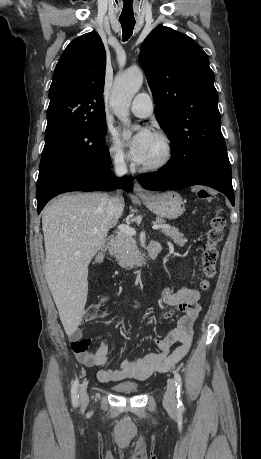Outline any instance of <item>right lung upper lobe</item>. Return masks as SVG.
Wrapping results in <instances>:
<instances>
[{
  "label": "right lung upper lobe",
  "instance_id": "cb5924a9",
  "mask_svg": "<svg viewBox=\"0 0 261 459\" xmlns=\"http://www.w3.org/2000/svg\"><path fill=\"white\" fill-rule=\"evenodd\" d=\"M106 52L96 32L73 40L56 65L50 86L46 131L105 119Z\"/></svg>",
  "mask_w": 261,
  "mask_h": 459
}]
</instances>
